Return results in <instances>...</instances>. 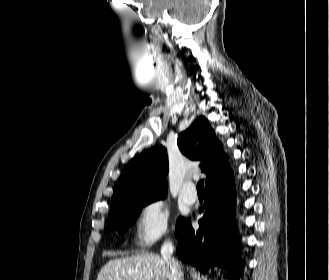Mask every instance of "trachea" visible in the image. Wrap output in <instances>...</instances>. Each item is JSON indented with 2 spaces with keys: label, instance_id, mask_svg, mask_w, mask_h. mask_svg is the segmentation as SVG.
<instances>
[{
  "label": "trachea",
  "instance_id": "1",
  "mask_svg": "<svg viewBox=\"0 0 329 280\" xmlns=\"http://www.w3.org/2000/svg\"><path fill=\"white\" fill-rule=\"evenodd\" d=\"M204 190V180H200L198 183H197V191H203Z\"/></svg>",
  "mask_w": 329,
  "mask_h": 280
}]
</instances>
